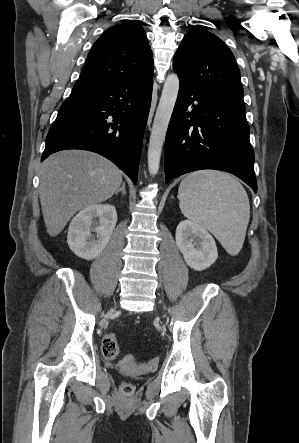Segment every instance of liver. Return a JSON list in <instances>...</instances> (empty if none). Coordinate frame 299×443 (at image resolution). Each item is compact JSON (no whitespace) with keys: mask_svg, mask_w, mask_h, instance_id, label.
<instances>
[{"mask_svg":"<svg viewBox=\"0 0 299 443\" xmlns=\"http://www.w3.org/2000/svg\"><path fill=\"white\" fill-rule=\"evenodd\" d=\"M39 175L42 214L52 237L76 212L106 201L122 183V171L115 164L84 150H64L48 157Z\"/></svg>","mask_w":299,"mask_h":443,"instance_id":"obj_1","label":"liver"}]
</instances>
